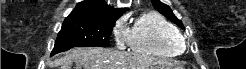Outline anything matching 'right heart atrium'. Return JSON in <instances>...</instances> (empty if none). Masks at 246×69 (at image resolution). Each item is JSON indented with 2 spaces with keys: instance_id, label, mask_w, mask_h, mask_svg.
Segmentation results:
<instances>
[{
  "instance_id": "d8ad5b80",
  "label": "right heart atrium",
  "mask_w": 246,
  "mask_h": 69,
  "mask_svg": "<svg viewBox=\"0 0 246 69\" xmlns=\"http://www.w3.org/2000/svg\"><path fill=\"white\" fill-rule=\"evenodd\" d=\"M112 35L118 47H123L126 44L129 32L126 26L125 18H121L114 24L112 28Z\"/></svg>"
}]
</instances>
